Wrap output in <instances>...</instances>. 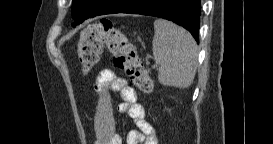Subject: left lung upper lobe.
<instances>
[{
	"label": "left lung upper lobe",
	"instance_id": "left-lung-upper-lobe-1",
	"mask_svg": "<svg viewBox=\"0 0 273 144\" xmlns=\"http://www.w3.org/2000/svg\"><path fill=\"white\" fill-rule=\"evenodd\" d=\"M89 1L90 2L86 5V8L91 7L96 0H89ZM82 2H83V0H73L72 14L79 11V10L82 11L85 9V3H82Z\"/></svg>",
	"mask_w": 273,
	"mask_h": 144
}]
</instances>
